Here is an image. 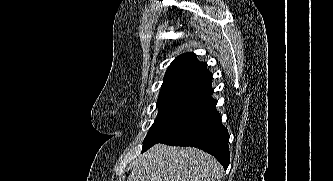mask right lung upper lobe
Listing matches in <instances>:
<instances>
[{
	"instance_id": "obj_1",
	"label": "right lung upper lobe",
	"mask_w": 333,
	"mask_h": 181,
	"mask_svg": "<svg viewBox=\"0 0 333 181\" xmlns=\"http://www.w3.org/2000/svg\"><path fill=\"white\" fill-rule=\"evenodd\" d=\"M211 73L207 64L196 59L194 53H184L175 58L167 69L158 108L184 107L210 111L217 101L211 97Z\"/></svg>"
}]
</instances>
